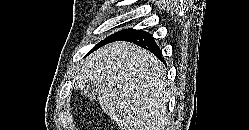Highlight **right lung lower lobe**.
<instances>
[{
  "label": "right lung lower lobe",
  "mask_w": 249,
  "mask_h": 130,
  "mask_svg": "<svg viewBox=\"0 0 249 130\" xmlns=\"http://www.w3.org/2000/svg\"><path fill=\"white\" fill-rule=\"evenodd\" d=\"M116 40L133 42V43L137 44L138 46L149 50L155 56H157L160 60L164 61V59H162L161 52H160L158 45L156 44L152 35L148 32H145L143 30H133V31H131L125 35H122V36H120L112 41H116ZM112 41H110V42H112Z\"/></svg>",
  "instance_id": "98d812e1"
}]
</instances>
